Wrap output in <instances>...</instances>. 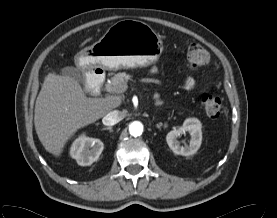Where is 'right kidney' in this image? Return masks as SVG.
Listing matches in <instances>:
<instances>
[{
  "label": "right kidney",
  "mask_w": 277,
  "mask_h": 218,
  "mask_svg": "<svg viewBox=\"0 0 277 218\" xmlns=\"http://www.w3.org/2000/svg\"><path fill=\"white\" fill-rule=\"evenodd\" d=\"M103 149L100 139L87 137L83 133L72 143L70 155L80 166H89L98 160Z\"/></svg>",
  "instance_id": "right-kidney-1"
}]
</instances>
